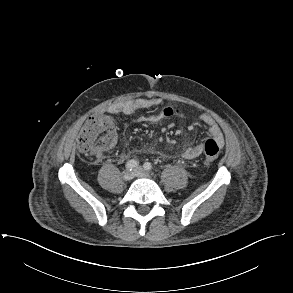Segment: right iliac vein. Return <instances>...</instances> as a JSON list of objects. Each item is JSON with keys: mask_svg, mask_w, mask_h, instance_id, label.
I'll return each instance as SVG.
<instances>
[{"mask_svg": "<svg viewBox=\"0 0 293 293\" xmlns=\"http://www.w3.org/2000/svg\"><path fill=\"white\" fill-rule=\"evenodd\" d=\"M122 177L124 181H130L134 177V173L132 171L126 170L123 172Z\"/></svg>", "mask_w": 293, "mask_h": 293, "instance_id": "right-iliac-vein-1", "label": "right iliac vein"}]
</instances>
